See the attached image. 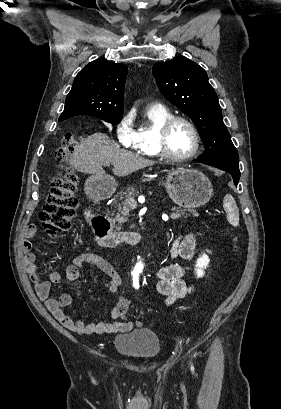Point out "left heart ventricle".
<instances>
[{"mask_svg":"<svg viewBox=\"0 0 281 409\" xmlns=\"http://www.w3.org/2000/svg\"><path fill=\"white\" fill-rule=\"evenodd\" d=\"M167 145L173 155H187L194 148L193 134L184 123L178 122L169 132Z\"/></svg>","mask_w":281,"mask_h":409,"instance_id":"obj_1","label":"left heart ventricle"}]
</instances>
